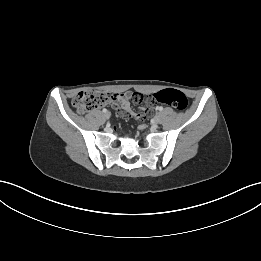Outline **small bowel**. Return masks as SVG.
<instances>
[{"label":"small bowel","instance_id":"1","mask_svg":"<svg viewBox=\"0 0 261 261\" xmlns=\"http://www.w3.org/2000/svg\"><path fill=\"white\" fill-rule=\"evenodd\" d=\"M129 101H132L137 105H143V106L146 105V106L142 107L141 111L139 112H132L130 109ZM118 102L119 105L115 104L114 105L115 108L123 112H126L137 119H141L144 118L146 114H148L152 110L153 104H155L156 99L153 96H145L139 93H132L130 91H127L125 93H121L118 95Z\"/></svg>","mask_w":261,"mask_h":261}]
</instances>
